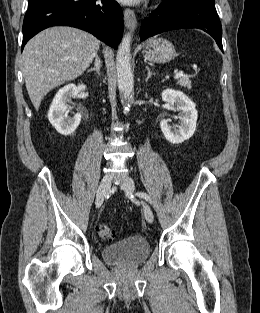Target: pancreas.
<instances>
[{
    "mask_svg": "<svg viewBox=\"0 0 260 313\" xmlns=\"http://www.w3.org/2000/svg\"><path fill=\"white\" fill-rule=\"evenodd\" d=\"M177 84L187 89H191V81L187 77L180 78Z\"/></svg>",
    "mask_w": 260,
    "mask_h": 313,
    "instance_id": "1",
    "label": "pancreas"
}]
</instances>
